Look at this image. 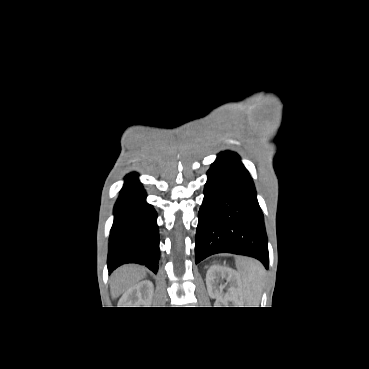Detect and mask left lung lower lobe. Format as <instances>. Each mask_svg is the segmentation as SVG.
<instances>
[{"label": "left lung lower lobe", "instance_id": "1", "mask_svg": "<svg viewBox=\"0 0 369 369\" xmlns=\"http://www.w3.org/2000/svg\"><path fill=\"white\" fill-rule=\"evenodd\" d=\"M207 176L198 214L196 264L210 255L228 252L254 257L268 268L263 214L252 178L238 154L219 153Z\"/></svg>", "mask_w": 369, "mask_h": 369}]
</instances>
